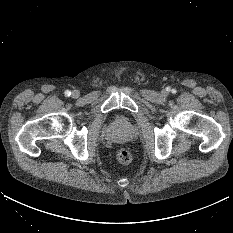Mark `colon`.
I'll return each mask as SVG.
<instances>
[{
	"label": "colon",
	"mask_w": 233,
	"mask_h": 233,
	"mask_svg": "<svg viewBox=\"0 0 233 233\" xmlns=\"http://www.w3.org/2000/svg\"><path fill=\"white\" fill-rule=\"evenodd\" d=\"M116 157H117L118 162L124 165L129 164L132 160V155L130 151L127 149H120L117 152Z\"/></svg>",
	"instance_id": "colon-1"
}]
</instances>
